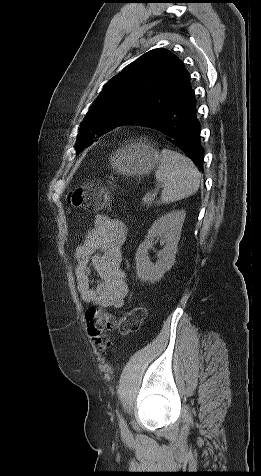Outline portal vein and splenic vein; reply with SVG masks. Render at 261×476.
<instances>
[{"label": "portal vein and splenic vein", "mask_w": 261, "mask_h": 476, "mask_svg": "<svg viewBox=\"0 0 261 476\" xmlns=\"http://www.w3.org/2000/svg\"><path fill=\"white\" fill-rule=\"evenodd\" d=\"M152 195H153V197H156V196H157V192H154Z\"/></svg>", "instance_id": "obj_1"}]
</instances>
